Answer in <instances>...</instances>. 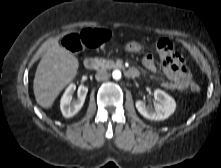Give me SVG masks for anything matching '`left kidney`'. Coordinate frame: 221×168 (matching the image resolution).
Masks as SVG:
<instances>
[{"mask_svg": "<svg viewBox=\"0 0 221 168\" xmlns=\"http://www.w3.org/2000/svg\"><path fill=\"white\" fill-rule=\"evenodd\" d=\"M154 98L159 103L155 107L147 106L143 101L136 102L138 112L149 120H165L172 115L176 109L175 100L165 93L163 90L156 89L154 91Z\"/></svg>", "mask_w": 221, "mask_h": 168, "instance_id": "1", "label": "left kidney"}]
</instances>
